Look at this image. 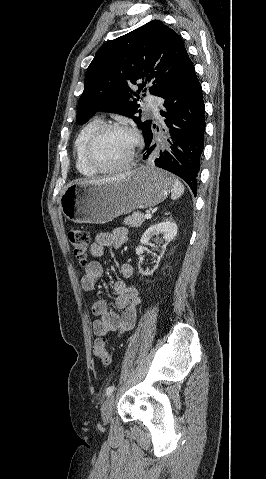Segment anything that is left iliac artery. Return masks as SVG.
<instances>
[{
	"instance_id": "obj_1",
	"label": "left iliac artery",
	"mask_w": 266,
	"mask_h": 479,
	"mask_svg": "<svg viewBox=\"0 0 266 479\" xmlns=\"http://www.w3.org/2000/svg\"><path fill=\"white\" fill-rule=\"evenodd\" d=\"M115 390V387L114 386H109L107 389H106V395L109 396L111 395Z\"/></svg>"
}]
</instances>
